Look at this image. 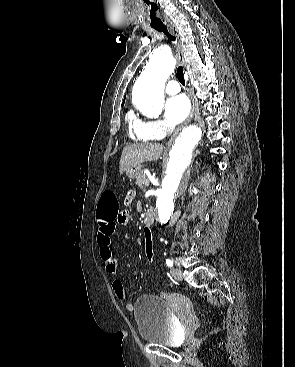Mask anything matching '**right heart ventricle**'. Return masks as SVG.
I'll return each instance as SVG.
<instances>
[{
  "instance_id": "e07e8e85",
  "label": "right heart ventricle",
  "mask_w": 295,
  "mask_h": 367,
  "mask_svg": "<svg viewBox=\"0 0 295 367\" xmlns=\"http://www.w3.org/2000/svg\"><path fill=\"white\" fill-rule=\"evenodd\" d=\"M126 122L134 137L138 141L151 140L144 132V121L140 119L133 111H128L126 114Z\"/></svg>"
}]
</instances>
